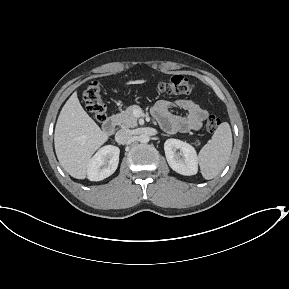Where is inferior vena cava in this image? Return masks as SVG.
Instances as JSON below:
<instances>
[{
    "label": "inferior vena cava",
    "mask_w": 289,
    "mask_h": 289,
    "mask_svg": "<svg viewBox=\"0 0 289 289\" xmlns=\"http://www.w3.org/2000/svg\"><path fill=\"white\" fill-rule=\"evenodd\" d=\"M132 135H133V133L130 129L124 128V129L119 130L116 133L115 139L118 143L125 144L132 139Z\"/></svg>",
    "instance_id": "obj_1"
}]
</instances>
